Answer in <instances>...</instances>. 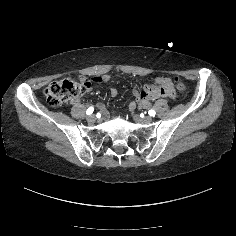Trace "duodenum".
Returning a JSON list of instances; mask_svg holds the SVG:
<instances>
[{"label": "duodenum", "mask_w": 236, "mask_h": 236, "mask_svg": "<svg viewBox=\"0 0 236 236\" xmlns=\"http://www.w3.org/2000/svg\"><path fill=\"white\" fill-rule=\"evenodd\" d=\"M161 88L163 91L161 90H155L153 92L147 91L146 92L148 94L147 96L145 95V92H143L142 96H140V99H146V97H149V96L161 97V96H166V95H169V96L172 95V89L168 83H162Z\"/></svg>", "instance_id": "1"}]
</instances>
